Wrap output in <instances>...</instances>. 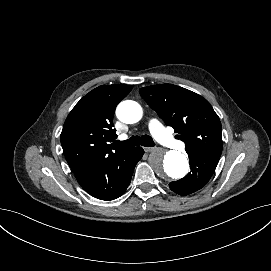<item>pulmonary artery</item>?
<instances>
[{
	"mask_svg": "<svg viewBox=\"0 0 271 271\" xmlns=\"http://www.w3.org/2000/svg\"><path fill=\"white\" fill-rule=\"evenodd\" d=\"M149 130L155 138L160 142L161 144L165 146H169L171 149H177L178 151L185 150L187 148V145L185 143H182L181 141L175 140L172 136L167 135L165 130L160 125V121L157 118H152L149 121ZM121 141H124L127 139L126 135H121L118 138Z\"/></svg>",
	"mask_w": 271,
	"mask_h": 271,
	"instance_id": "e3ab8cb5",
	"label": "pulmonary artery"
}]
</instances>
